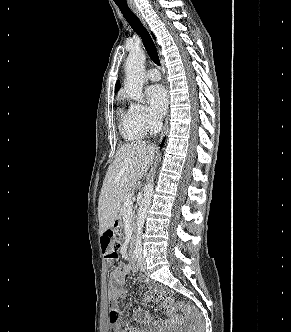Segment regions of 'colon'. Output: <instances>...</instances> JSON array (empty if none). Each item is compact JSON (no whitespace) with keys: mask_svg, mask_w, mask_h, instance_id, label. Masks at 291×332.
Wrapping results in <instances>:
<instances>
[{"mask_svg":"<svg viewBox=\"0 0 291 332\" xmlns=\"http://www.w3.org/2000/svg\"><path fill=\"white\" fill-rule=\"evenodd\" d=\"M101 246L103 249V254L105 258L109 260H114L118 257V250L120 248V243L112 230H107L103 233L101 237ZM167 306L170 310L182 311L188 318L187 321V332H202V316L201 313L192 305L185 302L174 303L171 299L168 300ZM119 318V312L115 309L110 312V320L114 323ZM129 332V331H123Z\"/></svg>","mask_w":291,"mask_h":332,"instance_id":"obj_1","label":"colon"}]
</instances>
